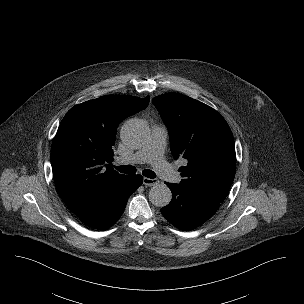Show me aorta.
Masks as SVG:
<instances>
[{"mask_svg":"<svg viewBox=\"0 0 304 304\" xmlns=\"http://www.w3.org/2000/svg\"><path fill=\"white\" fill-rule=\"evenodd\" d=\"M148 137V127L144 121L131 119L121 129V139L125 145L138 148ZM172 199L171 190L165 184H156L149 191L150 202L157 207L167 206Z\"/></svg>","mask_w":304,"mask_h":304,"instance_id":"1","label":"aorta"}]
</instances>
